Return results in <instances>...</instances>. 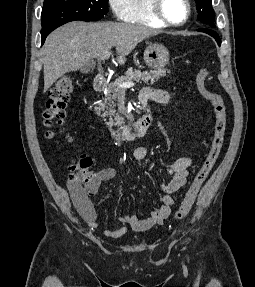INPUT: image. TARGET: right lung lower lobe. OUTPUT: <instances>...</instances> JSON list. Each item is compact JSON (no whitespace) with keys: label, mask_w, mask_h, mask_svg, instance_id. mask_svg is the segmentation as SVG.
<instances>
[{"label":"right lung lower lobe","mask_w":255,"mask_h":287,"mask_svg":"<svg viewBox=\"0 0 255 287\" xmlns=\"http://www.w3.org/2000/svg\"><path fill=\"white\" fill-rule=\"evenodd\" d=\"M54 30V29H53ZM53 30H49V31H44V32H41L42 33V44L44 43L46 37L53 31Z\"/></svg>","instance_id":"obj_1"}]
</instances>
